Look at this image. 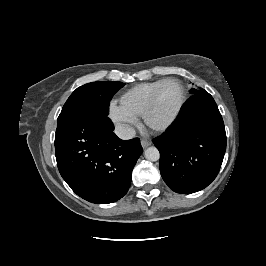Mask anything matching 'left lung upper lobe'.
<instances>
[{
  "instance_id": "obj_1",
  "label": "left lung upper lobe",
  "mask_w": 266,
  "mask_h": 266,
  "mask_svg": "<svg viewBox=\"0 0 266 266\" xmlns=\"http://www.w3.org/2000/svg\"><path fill=\"white\" fill-rule=\"evenodd\" d=\"M205 90H203V89H201V91H198V90H196V89H193L192 91H191V93L193 94V95H196V94H198V93H200V92H204Z\"/></svg>"
}]
</instances>
